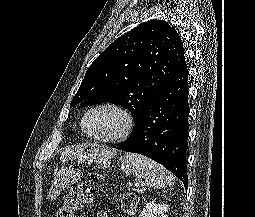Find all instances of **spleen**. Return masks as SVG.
I'll return each instance as SVG.
<instances>
[{"label":"spleen","instance_id":"3e777b00","mask_svg":"<svg viewBox=\"0 0 255 217\" xmlns=\"http://www.w3.org/2000/svg\"><path fill=\"white\" fill-rule=\"evenodd\" d=\"M125 160L132 166V170L139 180L147 186L160 189L174 184V177L166 168L157 162L140 154L127 153Z\"/></svg>","mask_w":255,"mask_h":217}]
</instances>
